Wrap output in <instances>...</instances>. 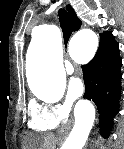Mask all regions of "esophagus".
Returning <instances> with one entry per match:
<instances>
[{
	"label": "esophagus",
	"mask_w": 124,
	"mask_h": 149,
	"mask_svg": "<svg viewBox=\"0 0 124 149\" xmlns=\"http://www.w3.org/2000/svg\"><path fill=\"white\" fill-rule=\"evenodd\" d=\"M71 128V122H69L65 127L60 130V134H67Z\"/></svg>",
	"instance_id": "34e87169"
}]
</instances>
